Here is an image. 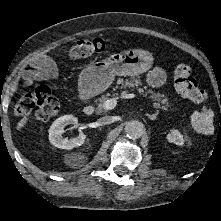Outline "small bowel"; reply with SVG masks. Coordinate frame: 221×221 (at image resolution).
<instances>
[{"label":"small bowel","instance_id":"1","mask_svg":"<svg viewBox=\"0 0 221 221\" xmlns=\"http://www.w3.org/2000/svg\"><path fill=\"white\" fill-rule=\"evenodd\" d=\"M58 77L57 65L45 54H40L33 58L24 74L27 84H31L34 81L55 80ZM164 81L165 73L161 68H155L148 75V82L153 86L161 85Z\"/></svg>","mask_w":221,"mask_h":221}]
</instances>
